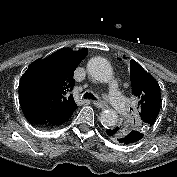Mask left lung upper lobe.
Wrapping results in <instances>:
<instances>
[{
	"mask_svg": "<svg viewBox=\"0 0 177 177\" xmlns=\"http://www.w3.org/2000/svg\"><path fill=\"white\" fill-rule=\"evenodd\" d=\"M130 77L133 95L138 101L137 113L130 123L118 126L117 136L130 130L147 133L158 117L161 104L160 87L157 81L134 60L130 61Z\"/></svg>",
	"mask_w": 177,
	"mask_h": 177,
	"instance_id": "obj_1",
	"label": "left lung upper lobe"
}]
</instances>
